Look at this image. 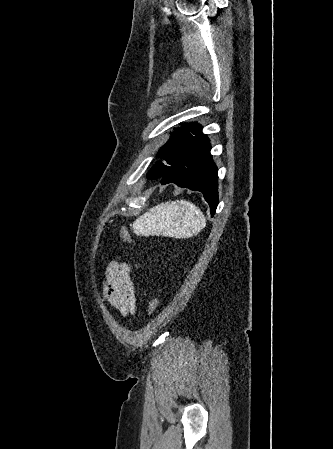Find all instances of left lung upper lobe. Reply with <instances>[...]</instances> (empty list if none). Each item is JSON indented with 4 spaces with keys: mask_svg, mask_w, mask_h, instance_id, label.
Instances as JSON below:
<instances>
[{
    "mask_svg": "<svg viewBox=\"0 0 333 449\" xmlns=\"http://www.w3.org/2000/svg\"><path fill=\"white\" fill-rule=\"evenodd\" d=\"M202 126L193 124H184V128L176 129L169 141L158 152V161L149 174V179L162 178L179 167L187 158L192 150Z\"/></svg>",
    "mask_w": 333,
    "mask_h": 449,
    "instance_id": "5c2ea615",
    "label": "left lung upper lobe"
}]
</instances>
